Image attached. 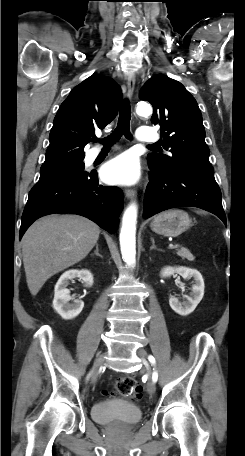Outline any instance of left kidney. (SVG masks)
Wrapping results in <instances>:
<instances>
[{"label":"left kidney","mask_w":245,"mask_h":456,"mask_svg":"<svg viewBox=\"0 0 245 456\" xmlns=\"http://www.w3.org/2000/svg\"><path fill=\"white\" fill-rule=\"evenodd\" d=\"M174 273L181 275L184 279H194L190 296H185L187 301L180 302L177 298L170 296L169 305L179 315L187 316L192 313L204 295V280L202 275L195 269L187 267H165L161 271L162 278H168Z\"/></svg>","instance_id":"obj_1"}]
</instances>
